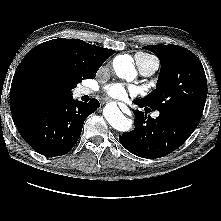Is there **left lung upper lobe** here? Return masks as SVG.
Segmentation results:
<instances>
[{
	"label": "left lung upper lobe",
	"mask_w": 221,
	"mask_h": 221,
	"mask_svg": "<svg viewBox=\"0 0 221 221\" xmlns=\"http://www.w3.org/2000/svg\"><path fill=\"white\" fill-rule=\"evenodd\" d=\"M161 62L157 88L138 100L158 111H175L200 120L207 96V80L200 60L188 49L176 45L143 47Z\"/></svg>",
	"instance_id": "5c2ea615"
}]
</instances>
